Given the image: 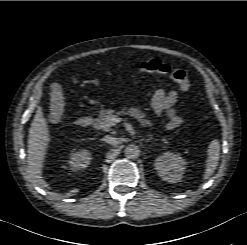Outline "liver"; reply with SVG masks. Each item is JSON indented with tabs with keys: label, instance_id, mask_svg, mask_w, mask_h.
<instances>
[{
	"label": "liver",
	"instance_id": "obj_1",
	"mask_svg": "<svg viewBox=\"0 0 247 245\" xmlns=\"http://www.w3.org/2000/svg\"><path fill=\"white\" fill-rule=\"evenodd\" d=\"M49 142L50 135L47 122L43 117L41 109H38L29 128L27 162L30 178L35 184L42 188L49 187L42 176Z\"/></svg>",
	"mask_w": 247,
	"mask_h": 245
}]
</instances>
